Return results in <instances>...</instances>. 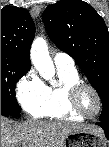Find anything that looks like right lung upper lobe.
Masks as SVG:
<instances>
[{
    "mask_svg": "<svg viewBox=\"0 0 109 147\" xmlns=\"http://www.w3.org/2000/svg\"><path fill=\"white\" fill-rule=\"evenodd\" d=\"M34 35L35 25L26 9L16 6L1 9V56L30 68Z\"/></svg>",
    "mask_w": 109,
    "mask_h": 147,
    "instance_id": "cb5924a9",
    "label": "right lung upper lobe"
}]
</instances>
